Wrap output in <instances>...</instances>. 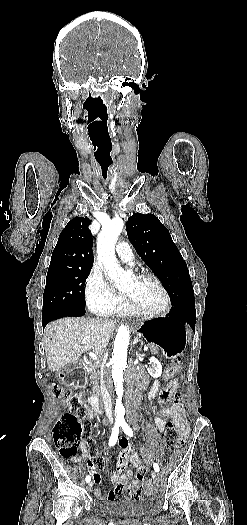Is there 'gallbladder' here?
Segmentation results:
<instances>
[{
	"instance_id": "gallbladder-1",
	"label": "gallbladder",
	"mask_w": 247,
	"mask_h": 525,
	"mask_svg": "<svg viewBox=\"0 0 247 525\" xmlns=\"http://www.w3.org/2000/svg\"><path fill=\"white\" fill-rule=\"evenodd\" d=\"M47 377H50V374H47Z\"/></svg>"
}]
</instances>
